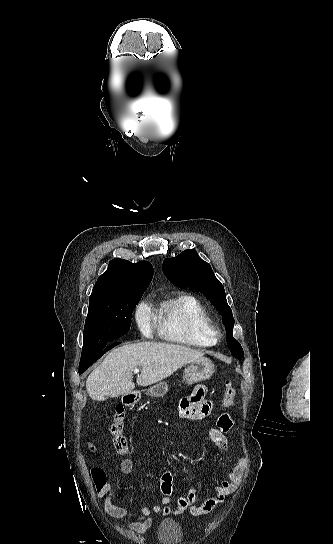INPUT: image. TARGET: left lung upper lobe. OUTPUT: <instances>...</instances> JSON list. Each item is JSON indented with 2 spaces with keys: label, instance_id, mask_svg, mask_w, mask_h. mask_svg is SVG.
Segmentation results:
<instances>
[{
  "label": "left lung upper lobe",
  "instance_id": "1",
  "mask_svg": "<svg viewBox=\"0 0 333 544\" xmlns=\"http://www.w3.org/2000/svg\"><path fill=\"white\" fill-rule=\"evenodd\" d=\"M163 272L172 283L197 289L216 306L223 316L231 354L241 360L244 352L232 335L234 325L232 311L227 304L224 287L215 277L211 266L203 261L195 250L188 249L175 258L165 259Z\"/></svg>",
  "mask_w": 333,
  "mask_h": 544
}]
</instances>
